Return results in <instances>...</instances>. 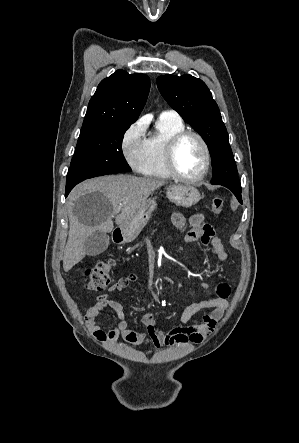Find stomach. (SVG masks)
I'll return each instance as SVG.
<instances>
[{"label":"stomach","mask_w":299,"mask_h":443,"mask_svg":"<svg viewBox=\"0 0 299 443\" xmlns=\"http://www.w3.org/2000/svg\"><path fill=\"white\" fill-rule=\"evenodd\" d=\"M166 195L172 203L182 207H191L201 199L197 188L190 185L170 186L167 188ZM156 199V197L149 198L130 220L121 225L123 243L131 242L139 235L157 207Z\"/></svg>","instance_id":"1"}]
</instances>
